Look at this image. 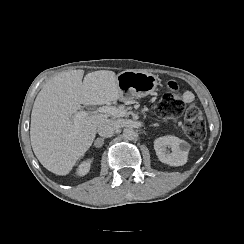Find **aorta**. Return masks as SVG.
<instances>
[{
    "label": "aorta",
    "instance_id": "obj_1",
    "mask_svg": "<svg viewBox=\"0 0 244 244\" xmlns=\"http://www.w3.org/2000/svg\"><path fill=\"white\" fill-rule=\"evenodd\" d=\"M123 137L126 140H133L136 137V132L131 128H126L123 130Z\"/></svg>",
    "mask_w": 244,
    "mask_h": 244
}]
</instances>
